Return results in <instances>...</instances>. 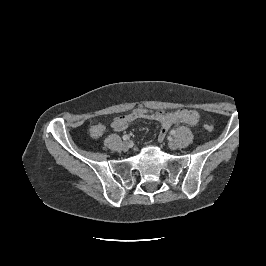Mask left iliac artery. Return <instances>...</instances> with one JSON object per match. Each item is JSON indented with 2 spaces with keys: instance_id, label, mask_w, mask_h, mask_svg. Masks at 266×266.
Instances as JSON below:
<instances>
[{
  "instance_id": "1",
  "label": "left iliac artery",
  "mask_w": 266,
  "mask_h": 266,
  "mask_svg": "<svg viewBox=\"0 0 266 266\" xmlns=\"http://www.w3.org/2000/svg\"><path fill=\"white\" fill-rule=\"evenodd\" d=\"M170 133H171V135H175L176 131L175 130H171Z\"/></svg>"
}]
</instances>
